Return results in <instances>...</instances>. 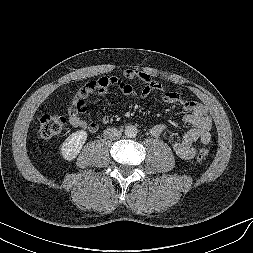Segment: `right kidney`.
Returning <instances> with one entry per match:
<instances>
[{"instance_id":"1","label":"right kidney","mask_w":253,"mask_h":253,"mask_svg":"<svg viewBox=\"0 0 253 253\" xmlns=\"http://www.w3.org/2000/svg\"><path fill=\"white\" fill-rule=\"evenodd\" d=\"M87 132L79 130L68 136L60 147L61 156L68 161L77 157L87 140Z\"/></svg>"}]
</instances>
